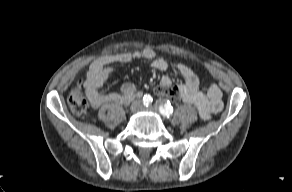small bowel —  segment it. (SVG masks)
Returning a JSON list of instances; mask_svg holds the SVG:
<instances>
[{
    "mask_svg": "<svg viewBox=\"0 0 292 192\" xmlns=\"http://www.w3.org/2000/svg\"><path fill=\"white\" fill-rule=\"evenodd\" d=\"M136 60L151 61V67L159 71L169 69V63L162 58H156L155 51L151 48L116 54L103 62L93 63L84 82L88 99L93 108H98L106 103L127 105L141 95L132 83H125L121 87L120 93H105L101 90L103 84L113 76L114 68L111 63L126 64ZM177 70L184 78V83L172 86L170 78L164 76L161 79V86L173 88L183 102L193 105L198 110L203 120H208L213 114L221 111L223 107L222 92L217 84H211L207 92L202 93L199 90V78L190 67L178 64Z\"/></svg>",
    "mask_w": 292,
    "mask_h": 192,
    "instance_id": "c3829d8e",
    "label": "small bowel"
}]
</instances>
